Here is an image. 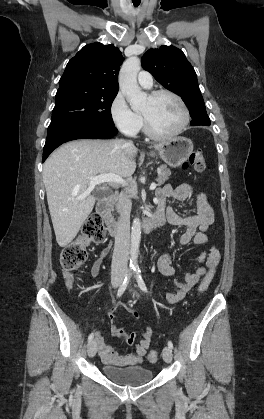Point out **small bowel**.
I'll return each instance as SVG.
<instances>
[{"label": "small bowel", "instance_id": "small-bowel-1", "mask_svg": "<svg viewBox=\"0 0 264 419\" xmlns=\"http://www.w3.org/2000/svg\"><path fill=\"white\" fill-rule=\"evenodd\" d=\"M172 198L176 201H190L196 206V213L181 216L177 214L170 206L167 205V199ZM156 202L158 211L156 214L170 226H183L184 233L180 238L181 245H187L194 242L197 245L207 244L209 239L207 231L214 222L213 210L203 192H197L191 184L183 183L175 188L171 185H165L157 192ZM109 252V247L103 249L99 258L92 266V275L96 277L99 274L103 259ZM220 261L218 250L211 247L209 251L202 252L198 257V262L205 263L204 266L196 267L192 271L187 272L182 282L174 279L175 289L166 294L165 299L168 303H178L188 292L198 283L200 278L207 270H214ZM158 269L164 276H174L175 269L172 265L171 256L168 253L161 255L158 259ZM116 307L108 313L110 323L109 333L111 336L121 338L127 344L133 345L135 354L120 355L114 351L105 341L100 331L95 332V341L97 344L98 354L103 363L112 366H128L139 364L143 361L150 348L153 329L146 327L141 332L127 333L119 329L115 325ZM136 316V314L134 313Z\"/></svg>", "mask_w": 264, "mask_h": 419}]
</instances>
